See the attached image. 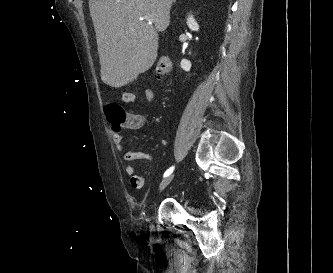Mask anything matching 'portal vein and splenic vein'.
Listing matches in <instances>:
<instances>
[{
    "label": "portal vein and splenic vein",
    "instance_id": "portal-vein-and-splenic-vein-1",
    "mask_svg": "<svg viewBox=\"0 0 333 273\" xmlns=\"http://www.w3.org/2000/svg\"><path fill=\"white\" fill-rule=\"evenodd\" d=\"M145 19L148 20L150 24L152 23L151 19L148 16H146Z\"/></svg>",
    "mask_w": 333,
    "mask_h": 273
}]
</instances>
